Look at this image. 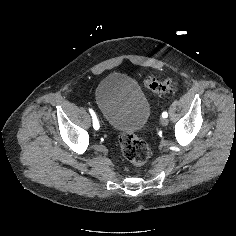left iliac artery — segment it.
Listing matches in <instances>:
<instances>
[{"label": "left iliac artery", "instance_id": "obj_1", "mask_svg": "<svg viewBox=\"0 0 236 236\" xmlns=\"http://www.w3.org/2000/svg\"><path fill=\"white\" fill-rule=\"evenodd\" d=\"M162 117H163V118H167V117H168V113H167L166 111H164V112L162 113Z\"/></svg>", "mask_w": 236, "mask_h": 236}]
</instances>
